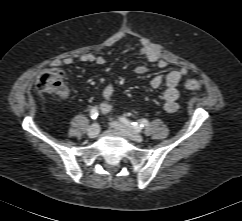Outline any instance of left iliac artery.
I'll list each match as a JSON object with an SVG mask.
<instances>
[{
    "instance_id": "1",
    "label": "left iliac artery",
    "mask_w": 242,
    "mask_h": 221,
    "mask_svg": "<svg viewBox=\"0 0 242 221\" xmlns=\"http://www.w3.org/2000/svg\"><path fill=\"white\" fill-rule=\"evenodd\" d=\"M120 121L136 131H139L142 127L148 126L149 124L148 120L146 119H142L140 122H130L128 119L120 117Z\"/></svg>"
}]
</instances>
